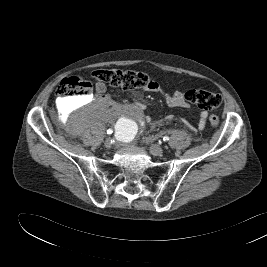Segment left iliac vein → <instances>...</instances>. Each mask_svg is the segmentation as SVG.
<instances>
[{
	"label": "left iliac vein",
	"instance_id": "left-iliac-vein-1",
	"mask_svg": "<svg viewBox=\"0 0 267 267\" xmlns=\"http://www.w3.org/2000/svg\"><path fill=\"white\" fill-rule=\"evenodd\" d=\"M150 153L154 156H159L163 154V148L159 145L153 144L150 146Z\"/></svg>",
	"mask_w": 267,
	"mask_h": 267
}]
</instances>
